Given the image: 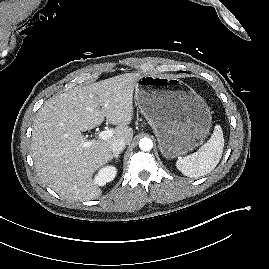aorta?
Masks as SVG:
<instances>
[{"label":"aorta","instance_id":"1","mask_svg":"<svg viewBox=\"0 0 269 269\" xmlns=\"http://www.w3.org/2000/svg\"><path fill=\"white\" fill-rule=\"evenodd\" d=\"M139 147L143 151H149L153 148V142L150 138L144 137L140 139Z\"/></svg>","mask_w":269,"mask_h":269}]
</instances>
